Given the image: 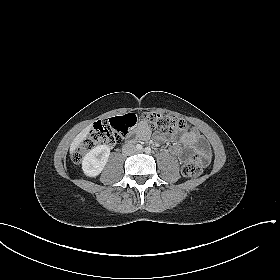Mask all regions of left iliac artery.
<instances>
[{
    "instance_id": "obj_1",
    "label": "left iliac artery",
    "mask_w": 280,
    "mask_h": 280,
    "mask_svg": "<svg viewBox=\"0 0 280 280\" xmlns=\"http://www.w3.org/2000/svg\"><path fill=\"white\" fill-rule=\"evenodd\" d=\"M145 152H146V153H150V152H151V148H150V147H146V148H145Z\"/></svg>"
}]
</instances>
